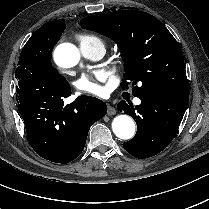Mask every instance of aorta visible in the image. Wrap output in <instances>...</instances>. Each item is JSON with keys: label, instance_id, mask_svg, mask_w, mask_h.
<instances>
[{"label": "aorta", "instance_id": "obj_1", "mask_svg": "<svg viewBox=\"0 0 209 209\" xmlns=\"http://www.w3.org/2000/svg\"><path fill=\"white\" fill-rule=\"evenodd\" d=\"M54 60L60 67L71 68L78 64L80 53L73 44L63 43L56 47ZM112 129L118 138L128 140L134 136L136 126L128 115H119L113 119Z\"/></svg>", "mask_w": 209, "mask_h": 209}]
</instances>
